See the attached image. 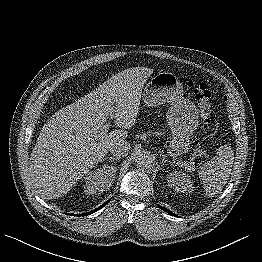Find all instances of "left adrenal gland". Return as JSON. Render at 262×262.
Here are the masks:
<instances>
[{
  "mask_svg": "<svg viewBox=\"0 0 262 262\" xmlns=\"http://www.w3.org/2000/svg\"><path fill=\"white\" fill-rule=\"evenodd\" d=\"M160 154H161V156H162V163H163V164H165L166 162H169V163H171V164H174V163H175L174 160H173V162H172V161L166 159V156H165L162 152H160Z\"/></svg>",
  "mask_w": 262,
  "mask_h": 262,
  "instance_id": "a2214340",
  "label": "left adrenal gland"
}]
</instances>
